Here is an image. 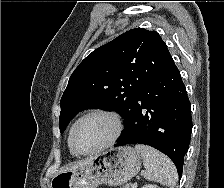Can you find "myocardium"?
<instances>
[{
    "label": "myocardium",
    "instance_id": "myocardium-1",
    "mask_svg": "<svg viewBox=\"0 0 224 188\" xmlns=\"http://www.w3.org/2000/svg\"><path fill=\"white\" fill-rule=\"evenodd\" d=\"M93 115H104V116L109 117L114 124V132H113L112 136L102 145H100L92 150H89V151H80L75 145V134H76L77 128L82 123V121H84L86 118L93 116ZM122 131H123V122L118 113L108 110V109H103V108L92 109V110L88 111L87 113H85L84 115H82L74 123L72 130H71V134H70V147L76 155H91V154L100 152V151L110 147L111 145H113L117 141V139L120 137Z\"/></svg>",
    "mask_w": 224,
    "mask_h": 188
}]
</instances>
